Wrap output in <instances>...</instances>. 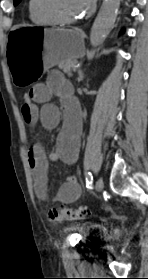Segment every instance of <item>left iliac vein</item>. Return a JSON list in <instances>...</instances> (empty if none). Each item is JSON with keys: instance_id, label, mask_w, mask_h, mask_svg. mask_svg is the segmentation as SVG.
Masks as SVG:
<instances>
[{"instance_id": "left-iliac-vein-1", "label": "left iliac vein", "mask_w": 148, "mask_h": 279, "mask_svg": "<svg viewBox=\"0 0 148 279\" xmlns=\"http://www.w3.org/2000/svg\"><path fill=\"white\" fill-rule=\"evenodd\" d=\"M104 184L102 178H98L96 181V191L101 192L103 190Z\"/></svg>"}]
</instances>
